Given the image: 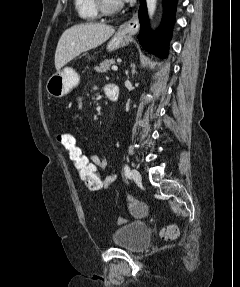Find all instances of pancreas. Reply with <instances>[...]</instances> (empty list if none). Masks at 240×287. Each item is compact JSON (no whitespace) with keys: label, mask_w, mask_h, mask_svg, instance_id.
I'll list each match as a JSON object with an SVG mask.
<instances>
[{"label":"pancreas","mask_w":240,"mask_h":287,"mask_svg":"<svg viewBox=\"0 0 240 287\" xmlns=\"http://www.w3.org/2000/svg\"><path fill=\"white\" fill-rule=\"evenodd\" d=\"M114 64H115L114 59H105L104 61L100 63L98 67L95 68V70L99 73H103V72L108 71L110 69V66Z\"/></svg>","instance_id":"pancreas-1"}]
</instances>
